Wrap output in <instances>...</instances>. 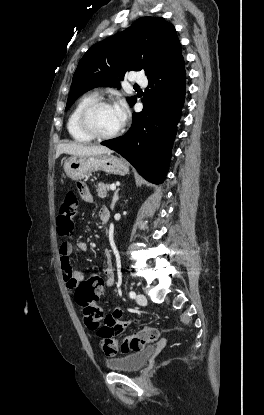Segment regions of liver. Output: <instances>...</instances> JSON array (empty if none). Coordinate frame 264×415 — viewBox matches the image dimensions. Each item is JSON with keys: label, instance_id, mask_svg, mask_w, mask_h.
<instances>
[{"label": "liver", "instance_id": "obj_1", "mask_svg": "<svg viewBox=\"0 0 264 415\" xmlns=\"http://www.w3.org/2000/svg\"><path fill=\"white\" fill-rule=\"evenodd\" d=\"M69 154L73 156H88V155H99V154H111L112 151L105 146H87L78 143H61L56 149V158L61 154Z\"/></svg>", "mask_w": 264, "mask_h": 415}]
</instances>
